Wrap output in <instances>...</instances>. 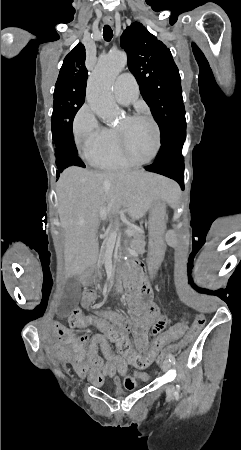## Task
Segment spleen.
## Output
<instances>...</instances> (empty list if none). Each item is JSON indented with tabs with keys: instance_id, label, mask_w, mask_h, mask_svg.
<instances>
[{
	"instance_id": "obj_1",
	"label": "spleen",
	"mask_w": 241,
	"mask_h": 450,
	"mask_svg": "<svg viewBox=\"0 0 241 450\" xmlns=\"http://www.w3.org/2000/svg\"><path fill=\"white\" fill-rule=\"evenodd\" d=\"M168 233H167V238H166V243L168 244V245H171V247L173 248V249H176L177 247H178V244L176 243L177 242V239L175 238L177 235L175 234V229L174 228H169L168 229V231H167Z\"/></svg>"
}]
</instances>
